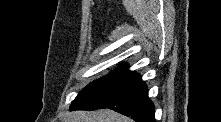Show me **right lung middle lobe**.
Returning <instances> with one entry per match:
<instances>
[{
	"instance_id": "1",
	"label": "right lung middle lobe",
	"mask_w": 221,
	"mask_h": 122,
	"mask_svg": "<svg viewBox=\"0 0 221 122\" xmlns=\"http://www.w3.org/2000/svg\"><path fill=\"white\" fill-rule=\"evenodd\" d=\"M126 67V64H122L121 66H119V68H117L107 76L90 83L78 94L73 103L81 102L90 97H93L94 95L105 91L106 89L123 80L131 73V71L127 70Z\"/></svg>"
}]
</instances>
